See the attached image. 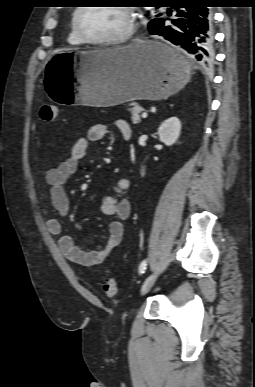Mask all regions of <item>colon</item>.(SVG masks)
<instances>
[{
  "mask_svg": "<svg viewBox=\"0 0 255 387\" xmlns=\"http://www.w3.org/2000/svg\"><path fill=\"white\" fill-rule=\"evenodd\" d=\"M57 115V109L53 105L45 104L41 106L39 116L42 120L54 121ZM103 291L109 296L113 297L117 293V283L113 277H107L103 282Z\"/></svg>",
  "mask_w": 255,
  "mask_h": 387,
  "instance_id": "5ec220e1",
  "label": "colon"
}]
</instances>
